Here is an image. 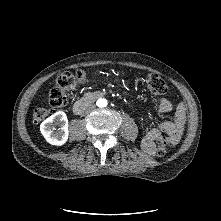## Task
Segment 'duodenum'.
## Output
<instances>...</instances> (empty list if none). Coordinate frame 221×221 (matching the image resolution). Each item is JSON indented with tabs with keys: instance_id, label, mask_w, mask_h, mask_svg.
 <instances>
[{
	"instance_id": "obj_1",
	"label": "duodenum",
	"mask_w": 221,
	"mask_h": 221,
	"mask_svg": "<svg viewBox=\"0 0 221 221\" xmlns=\"http://www.w3.org/2000/svg\"><path fill=\"white\" fill-rule=\"evenodd\" d=\"M104 94L101 92H94L91 93L80 100H78L73 105V112L74 114H80L83 110H85L90 104H92L95 100L102 97Z\"/></svg>"
}]
</instances>
